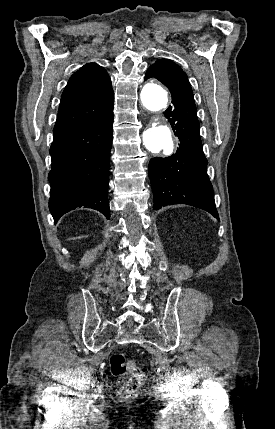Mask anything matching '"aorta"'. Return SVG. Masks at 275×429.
<instances>
[{"instance_id":"aorta-1","label":"aorta","mask_w":275,"mask_h":429,"mask_svg":"<svg viewBox=\"0 0 275 429\" xmlns=\"http://www.w3.org/2000/svg\"><path fill=\"white\" fill-rule=\"evenodd\" d=\"M142 105L149 111H161L167 107L168 93L155 80L147 82L140 94ZM146 149L154 154L163 151L171 154L174 149V137L167 125L153 123L142 135Z\"/></svg>"}]
</instances>
